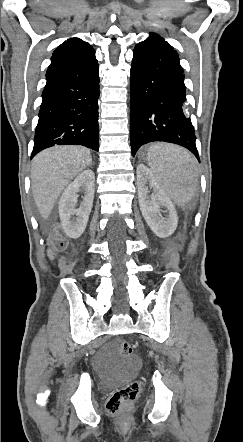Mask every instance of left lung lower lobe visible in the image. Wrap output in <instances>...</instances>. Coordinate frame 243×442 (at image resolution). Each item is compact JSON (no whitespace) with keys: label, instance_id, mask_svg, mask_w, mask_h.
<instances>
[{"label":"left lung lower lobe","instance_id":"0a47b994","mask_svg":"<svg viewBox=\"0 0 243 442\" xmlns=\"http://www.w3.org/2000/svg\"><path fill=\"white\" fill-rule=\"evenodd\" d=\"M130 90L132 155L146 143L164 141L189 149L199 160L194 128L184 109L183 69L177 52L159 35L151 33L136 45Z\"/></svg>","mask_w":243,"mask_h":442}]
</instances>
